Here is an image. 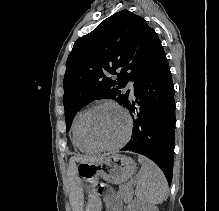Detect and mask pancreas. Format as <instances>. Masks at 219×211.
Returning a JSON list of instances; mask_svg holds the SVG:
<instances>
[{
    "instance_id": "pancreas-1",
    "label": "pancreas",
    "mask_w": 219,
    "mask_h": 211,
    "mask_svg": "<svg viewBox=\"0 0 219 211\" xmlns=\"http://www.w3.org/2000/svg\"><path fill=\"white\" fill-rule=\"evenodd\" d=\"M119 193L122 199H124L125 203H130L132 199V193L130 191V188L125 187V185H121Z\"/></svg>"
}]
</instances>
